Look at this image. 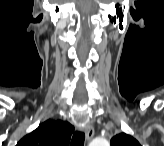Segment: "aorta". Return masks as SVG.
<instances>
[{"instance_id": "1", "label": "aorta", "mask_w": 164, "mask_h": 146, "mask_svg": "<svg viewBox=\"0 0 164 146\" xmlns=\"http://www.w3.org/2000/svg\"><path fill=\"white\" fill-rule=\"evenodd\" d=\"M91 146H108L109 142L104 138L94 139L91 143Z\"/></svg>"}]
</instances>
